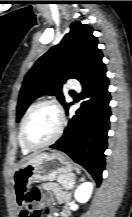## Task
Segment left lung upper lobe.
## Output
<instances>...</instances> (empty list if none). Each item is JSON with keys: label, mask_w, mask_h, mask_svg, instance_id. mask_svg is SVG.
<instances>
[{"label": "left lung upper lobe", "mask_w": 132, "mask_h": 217, "mask_svg": "<svg viewBox=\"0 0 132 217\" xmlns=\"http://www.w3.org/2000/svg\"><path fill=\"white\" fill-rule=\"evenodd\" d=\"M93 28L73 22L71 30L60 44L41 56L25 76L17 105L19 120L30 103L40 95L55 94L67 110L72 104L64 102L61 87L69 78L81 83L102 64L103 54L97 48L98 40Z\"/></svg>", "instance_id": "left-lung-upper-lobe-1"}]
</instances>
